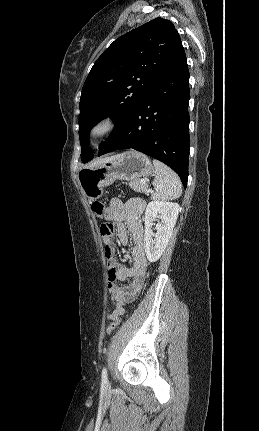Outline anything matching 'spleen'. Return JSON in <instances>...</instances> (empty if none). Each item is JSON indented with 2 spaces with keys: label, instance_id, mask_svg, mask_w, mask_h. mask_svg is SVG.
<instances>
[{
  "label": "spleen",
  "instance_id": "obj_1",
  "mask_svg": "<svg viewBox=\"0 0 259 431\" xmlns=\"http://www.w3.org/2000/svg\"><path fill=\"white\" fill-rule=\"evenodd\" d=\"M155 178L153 186L155 193L152 195L154 200H174L182 194V183L179 176L164 163L154 159Z\"/></svg>",
  "mask_w": 259,
  "mask_h": 431
}]
</instances>
